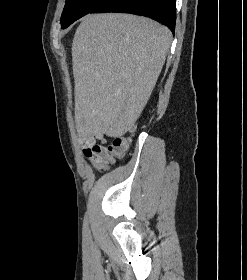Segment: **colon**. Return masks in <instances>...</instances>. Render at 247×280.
I'll return each instance as SVG.
<instances>
[{"instance_id":"colon-1","label":"colon","mask_w":247,"mask_h":280,"mask_svg":"<svg viewBox=\"0 0 247 280\" xmlns=\"http://www.w3.org/2000/svg\"><path fill=\"white\" fill-rule=\"evenodd\" d=\"M125 138H116L108 146L95 145L87 155L94 167L104 169L114 159L121 157L128 146Z\"/></svg>"}]
</instances>
